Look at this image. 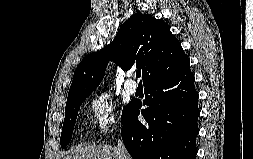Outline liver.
Masks as SVG:
<instances>
[{
    "label": "liver",
    "instance_id": "liver-1",
    "mask_svg": "<svg viewBox=\"0 0 253 159\" xmlns=\"http://www.w3.org/2000/svg\"><path fill=\"white\" fill-rule=\"evenodd\" d=\"M64 159H119V152L113 146H78Z\"/></svg>",
    "mask_w": 253,
    "mask_h": 159
}]
</instances>
